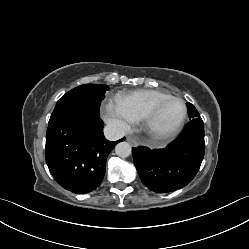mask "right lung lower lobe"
Here are the masks:
<instances>
[{"label":"right lung lower lobe","instance_id":"98d812e1","mask_svg":"<svg viewBox=\"0 0 249 249\" xmlns=\"http://www.w3.org/2000/svg\"><path fill=\"white\" fill-rule=\"evenodd\" d=\"M124 139L111 142L104 137L99 112H72L48 125L46 163L63 188L88 193L100 185L107 156Z\"/></svg>","mask_w":249,"mask_h":249}]
</instances>
